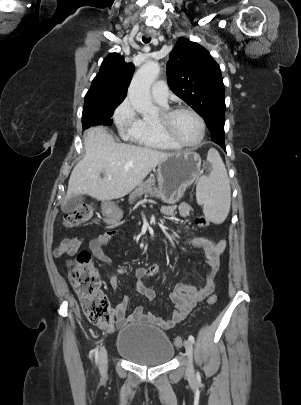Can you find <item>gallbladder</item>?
<instances>
[{
	"label": "gallbladder",
	"instance_id": "gallbladder-1",
	"mask_svg": "<svg viewBox=\"0 0 301 405\" xmlns=\"http://www.w3.org/2000/svg\"><path fill=\"white\" fill-rule=\"evenodd\" d=\"M83 200V195H74L62 205L61 209L64 213H72L82 205Z\"/></svg>",
	"mask_w": 301,
	"mask_h": 405
}]
</instances>
